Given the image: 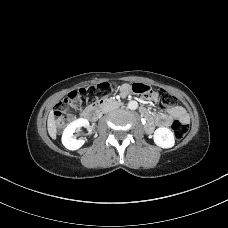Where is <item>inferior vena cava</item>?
I'll return each instance as SVG.
<instances>
[{
	"label": "inferior vena cava",
	"mask_w": 228,
	"mask_h": 228,
	"mask_svg": "<svg viewBox=\"0 0 228 228\" xmlns=\"http://www.w3.org/2000/svg\"><path fill=\"white\" fill-rule=\"evenodd\" d=\"M115 108H116V106L105 107V108L103 109V112H104V113H107V112H109V111H111V110H113V109H115Z\"/></svg>",
	"instance_id": "602c4592"
}]
</instances>
